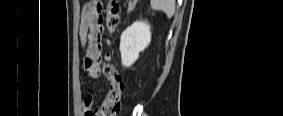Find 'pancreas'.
<instances>
[{
	"label": "pancreas",
	"mask_w": 283,
	"mask_h": 116,
	"mask_svg": "<svg viewBox=\"0 0 283 116\" xmlns=\"http://www.w3.org/2000/svg\"><path fill=\"white\" fill-rule=\"evenodd\" d=\"M133 9V7H129L128 11H131Z\"/></svg>",
	"instance_id": "pancreas-1"
}]
</instances>
